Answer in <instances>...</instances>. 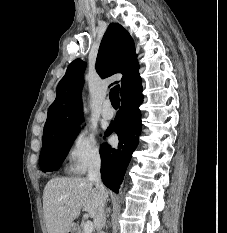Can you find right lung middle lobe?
<instances>
[{"label":"right lung middle lobe","mask_w":227,"mask_h":233,"mask_svg":"<svg viewBox=\"0 0 227 233\" xmlns=\"http://www.w3.org/2000/svg\"><path fill=\"white\" fill-rule=\"evenodd\" d=\"M79 130L78 126L59 137L42 142L39 164L43 172L54 171L60 167Z\"/></svg>","instance_id":"obj_1"}]
</instances>
